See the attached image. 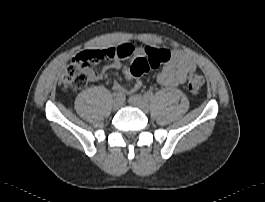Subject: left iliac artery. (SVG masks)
<instances>
[{
	"label": "left iliac artery",
	"instance_id": "44dca946",
	"mask_svg": "<svg viewBox=\"0 0 265 202\" xmlns=\"http://www.w3.org/2000/svg\"><path fill=\"white\" fill-rule=\"evenodd\" d=\"M144 97L147 98V99H152L153 93L147 91V92H145Z\"/></svg>",
	"mask_w": 265,
	"mask_h": 202
}]
</instances>
